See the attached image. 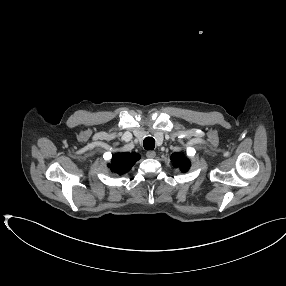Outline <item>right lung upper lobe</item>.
I'll return each instance as SVG.
<instances>
[{"label":"right lung upper lobe","mask_w":286,"mask_h":286,"mask_svg":"<svg viewBox=\"0 0 286 286\" xmlns=\"http://www.w3.org/2000/svg\"><path fill=\"white\" fill-rule=\"evenodd\" d=\"M139 159L140 155L137 153H117L108 166L113 172L121 175L128 172Z\"/></svg>","instance_id":"cb5924a9"}]
</instances>
